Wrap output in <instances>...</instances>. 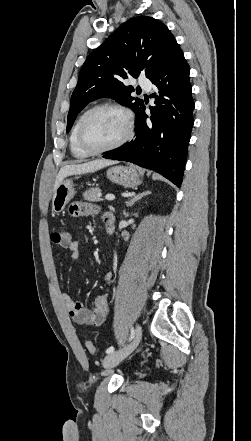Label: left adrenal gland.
<instances>
[{"label": "left adrenal gland", "mask_w": 251, "mask_h": 441, "mask_svg": "<svg viewBox=\"0 0 251 441\" xmlns=\"http://www.w3.org/2000/svg\"><path fill=\"white\" fill-rule=\"evenodd\" d=\"M151 194V192L149 191H144L142 193H139L137 195H134L133 197H131L127 202H126V206L127 207H131L133 204H135L138 200L142 199L144 196H147Z\"/></svg>", "instance_id": "a2214340"}]
</instances>
